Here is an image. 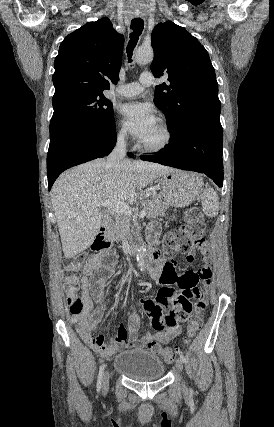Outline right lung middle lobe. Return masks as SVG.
Wrapping results in <instances>:
<instances>
[{"label":"right lung middle lobe","instance_id":"right-lung-middle-lobe-1","mask_svg":"<svg viewBox=\"0 0 274 427\" xmlns=\"http://www.w3.org/2000/svg\"><path fill=\"white\" fill-rule=\"evenodd\" d=\"M50 140L61 129L75 125H103L113 120L112 103L103 95L66 94L53 102Z\"/></svg>","mask_w":274,"mask_h":427}]
</instances>
